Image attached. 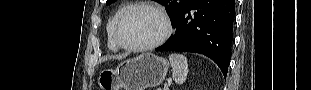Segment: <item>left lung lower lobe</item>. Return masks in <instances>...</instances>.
Here are the masks:
<instances>
[{
	"mask_svg": "<svg viewBox=\"0 0 311 90\" xmlns=\"http://www.w3.org/2000/svg\"><path fill=\"white\" fill-rule=\"evenodd\" d=\"M234 5L235 0H192L176 20L175 35L155 50L204 54L218 65L226 78L231 59Z\"/></svg>",
	"mask_w": 311,
	"mask_h": 90,
	"instance_id": "1",
	"label": "left lung lower lobe"
}]
</instances>
